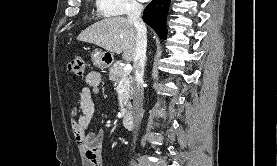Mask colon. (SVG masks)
I'll list each match as a JSON object with an SVG mask.
<instances>
[{"label": "colon", "instance_id": "1", "mask_svg": "<svg viewBox=\"0 0 277 166\" xmlns=\"http://www.w3.org/2000/svg\"><path fill=\"white\" fill-rule=\"evenodd\" d=\"M69 69L77 76H82L85 72V59L81 55L75 56L69 62Z\"/></svg>", "mask_w": 277, "mask_h": 166}]
</instances>
